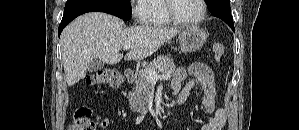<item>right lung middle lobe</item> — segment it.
Segmentation results:
<instances>
[{
	"label": "right lung middle lobe",
	"instance_id": "right-lung-middle-lobe-1",
	"mask_svg": "<svg viewBox=\"0 0 299 130\" xmlns=\"http://www.w3.org/2000/svg\"><path fill=\"white\" fill-rule=\"evenodd\" d=\"M74 1H91V2H99L108 5H113L132 14L130 0H68L67 3L74 2Z\"/></svg>",
	"mask_w": 299,
	"mask_h": 130
}]
</instances>
